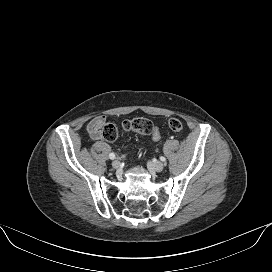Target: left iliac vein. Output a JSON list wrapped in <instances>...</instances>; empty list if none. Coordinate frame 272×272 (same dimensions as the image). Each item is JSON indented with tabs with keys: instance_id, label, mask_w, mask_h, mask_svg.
I'll use <instances>...</instances> for the list:
<instances>
[{
	"instance_id": "4c4485c4",
	"label": "left iliac vein",
	"mask_w": 272,
	"mask_h": 272,
	"mask_svg": "<svg viewBox=\"0 0 272 272\" xmlns=\"http://www.w3.org/2000/svg\"><path fill=\"white\" fill-rule=\"evenodd\" d=\"M149 168L155 172H161L164 169V164L160 161H152L149 163Z\"/></svg>"
}]
</instances>
